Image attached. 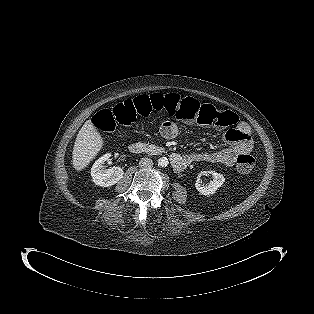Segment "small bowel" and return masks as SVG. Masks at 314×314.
Listing matches in <instances>:
<instances>
[{"mask_svg": "<svg viewBox=\"0 0 314 314\" xmlns=\"http://www.w3.org/2000/svg\"><path fill=\"white\" fill-rule=\"evenodd\" d=\"M229 112L236 117L235 113ZM179 133L180 127L173 121H165L160 127V135L165 139H173ZM250 134V126L245 122H239L235 128L229 130L223 136V140L226 142L224 148L195 153L190 155V157L193 158L194 162L204 161L232 166L240 154L249 153L252 150L253 141Z\"/></svg>", "mask_w": 314, "mask_h": 314, "instance_id": "obj_1", "label": "small bowel"}]
</instances>
